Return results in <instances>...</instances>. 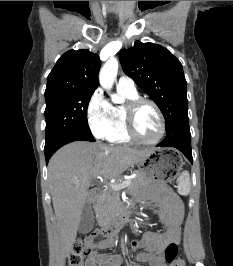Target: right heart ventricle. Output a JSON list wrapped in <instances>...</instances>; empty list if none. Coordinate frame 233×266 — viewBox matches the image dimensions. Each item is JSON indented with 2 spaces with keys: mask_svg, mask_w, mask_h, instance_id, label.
I'll return each instance as SVG.
<instances>
[{
  "mask_svg": "<svg viewBox=\"0 0 233 266\" xmlns=\"http://www.w3.org/2000/svg\"><path fill=\"white\" fill-rule=\"evenodd\" d=\"M119 93L127 100L138 97L137 92L131 93L118 89ZM112 116L115 124L114 131L107 137V139L116 144H125L131 142L126 130L125 117L122 105H112Z\"/></svg>",
  "mask_w": 233,
  "mask_h": 266,
  "instance_id": "e07e8e85",
  "label": "right heart ventricle"
}]
</instances>
